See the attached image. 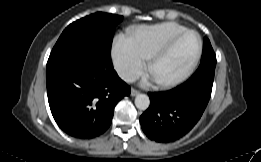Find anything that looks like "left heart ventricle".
Instances as JSON below:
<instances>
[{
  "mask_svg": "<svg viewBox=\"0 0 261 162\" xmlns=\"http://www.w3.org/2000/svg\"><path fill=\"white\" fill-rule=\"evenodd\" d=\"M198 48V38L189 33L182 36L170 51L155 62L150 75L155 80H167L182 73L192 61Z\"/></svg>",
  "mask_w": 261,
  "mask_h": 162,
  "instance_id": "obj_1",
  "label": "left heart ventricle"
}]
</instances>
